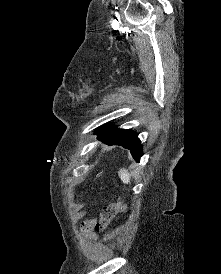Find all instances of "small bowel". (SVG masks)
I'll use <instances>...</instances> for the list:
<instances>
[{
    "instance_id": "c3829d8e",
    "label": "small bowel",
    "mask_w": 221,
    "mask_h": 274,
    "mask_svg": "<svg viewBox=\"0 0 221 274\" xmlns=\"http://www.w3.org/2000/svg\"><path fill=\"white\" fill-rule=\"evenodd\" d=\"M97 227V224L95 221H90L87 223V230L90 237L94 238L95 234L91 231L92 228Z\"/></svg>"
}]
</instances>
